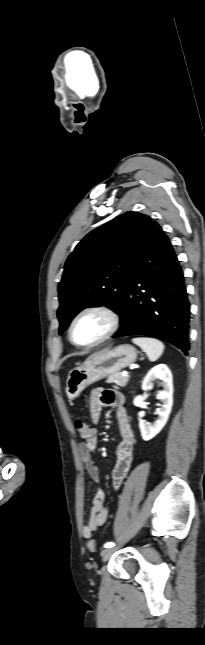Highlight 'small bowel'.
<instances>
[{"mask_svg": "<svg viewBox=\"0 0 205 645\" xmlns=\"http://www.w3.org/2000/svg\"><path fill=\"white\" fill-rule=\"evenodd\" d=\"M123 404L124 397L121 393L103 388L93 390L89 400L90 416L94 423L99 421L103 407L117 408L116 416L122 440L116 449L117 460L112 472L114 488H119L127 476L133 461L135 447L134 432ZM97 443L98 431L96 428H90V434L86 438V441L79 443L77 446L79 457L86 471L94 481L99 479V471L91 453L96 448ZM107 518L108 509L105 505V492L102 488L98 487L93 495L89 520L83 527L82 533L84 538L90 539L93 533L107 521Z\"/></svg>", "mask_w": 205, "mask_h": 645, "instance_id": "obj_1", "label": "small bowel"}]
</instances>
